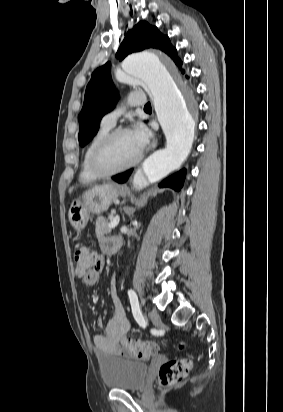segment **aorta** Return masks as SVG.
<instances>
[{
	"label": "aorta",
	"mask_w": 283,
	"mask_h": 412,
	"mask_svg": "<svg viewBox=\"0 0 283 412\" xmlns=\"http://www.w3.org/2000/svg\"><path fill=\"white\" fill-rule=\"evenodd\" d=\"M167 58L155 51L128 56L116 79L123 83H142L153 98L154 108L166 137L165 148L154 152L143 163L141 173L150 183L178 169L190 153L194 119L187 107L188 90L180 86Z\"/></svg>",
	"instance_id": "762f6f07"
}]
</instances>
